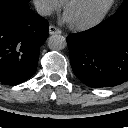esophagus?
Here are the masks:
<instances>
[{"instance_id": "obj_1", "label": "esophagus", "mask_w": 128, "mask_h": 128, "mask_svg": "<svg viewBox=\"0 0 128 128\" xmlns=\"http://www.w3.org/2000/svg\"><path fill=\"white\" fill-rule=\"evenodd\" d=\"M61 33H62V31L58 27H56L54 25L49 26V34L53 35V34H61Z\"/></svg>"}]
</instances>
